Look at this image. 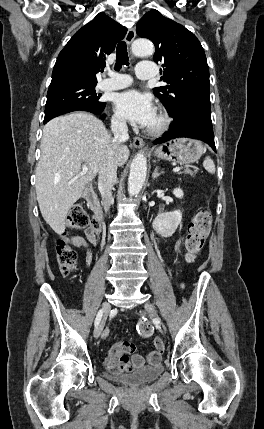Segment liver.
I'll return each instance as SVG.
<instances>
[{
  "instance_id": "6515ba94",
  "label": "liver",
  "mask_w": 264,
  "mask_h": 429,
  "mask_svg": "<svg viewBox=\"0 0 264 429\" xmlns=\"http://www.w3.org/2000/svg\"><path fill=\"white\" fill-rule=\"evenodd\" d=\"M111 151L118 166L127 162L128 147L120 145L113 150L110 133L93 115L72 113L45 125L35 188L41 214L57 234L64 232L69 210Z\"/></svg>"
}]
</instances>
